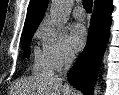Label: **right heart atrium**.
Wrapping results in <instances>:
<instances>
[{"label": "right heart atrium", "mask_w": 119, "mask_h": 95, "mask_svg": "<svg viewBox=\"0 0 119 95\" xmlns=\"http://www.w3.org/2000/svg\"><path fill=\"white\" fill-rule=\"evenodd\" d=\"M39 35L53 69H61L75 58V53L64 30L56 28L50 23H45L40 28Z\"/></svg>", "instance_id": "1"}]
</instances>
